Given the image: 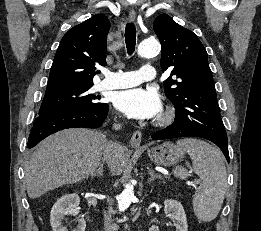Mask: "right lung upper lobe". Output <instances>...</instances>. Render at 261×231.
I'll list each match as a JSON object with an SVG mask.
<instances>
[{
    "instance_id": "obj_1",
    "label": "right lung upper lobe",
    "mask_w": 261,
    "mask_h": 231,
    "mask_svg": "<svg viewBox=\"0 0 261 231\" xmlns=\"http://www.w3.org/2000/svg\"><path fill=\"white\" fill-rule=\"evenodd\" d=\"M109 20L96 14L62 38L51 66L47 88L93 85L96 66L106 65Z\"/></svg>"
}]
</instances>
